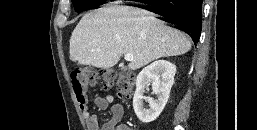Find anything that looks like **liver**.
<instances>
[{
	"instance_id": "liver-1",
	"label": "liver",
	"mask_w": 257,
	"mask_h": 130,
	"mask_svg": "<svg viewBox=\"0 0 257 130\" xmlns=\"http://www.w3.org/2000/svg\"><path fill=\"white\" fill-rule=\"evenodd\" d=\"M190 49L185 34L166 26L151 12L128 6L103 7L85 14L70 38V59L101 69L115 66L125 54L133 55L128 68L137 70Z\"/></svg>"
}]
</instances>
